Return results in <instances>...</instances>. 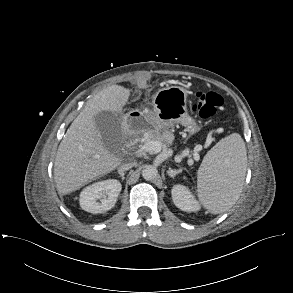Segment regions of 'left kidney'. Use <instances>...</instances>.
Returning <instances> with one entry per match:
<instances>
[{
	"mask_svg": "<svg viewBox=\"0 0 293 293\" xmlns=\"http://www.w3.org/2000/svg\"><path fill=\"white\" fill-rule=\"evenodd\" d=\"M171 194L174 204L182 211L194 212L200 209L199 203L186 186H173Z\"/></svg>",
	"mask_w": 293,
	"mask_h": 293,
	"instance_id": "5707ae66",
	"label": "left kidney"
}]
</instances>
